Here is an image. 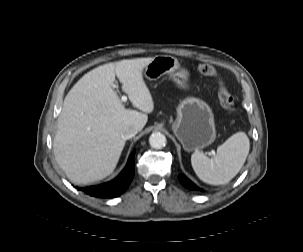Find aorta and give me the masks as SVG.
Returning <instances> with one entry per match:
<instances>
[{"mask_svg":"<svg viewBox=\"0 0 303 252\" xmlns=\"http://www.w3.org/2000/svg\"><path fill=\"white\" fill-rule=\"evenodd\" d=\"M166 137L160 132L152 133L149 137V144L155 149H161L166 145Z\"/></svg>","mask_w":303,"mask_h":252,"instance_id":"1","label":"aorta"}]
</instances>
